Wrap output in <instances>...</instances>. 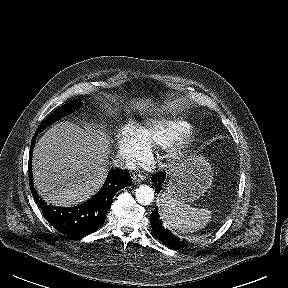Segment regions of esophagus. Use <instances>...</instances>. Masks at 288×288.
Returning a JSON list of instances; mask_svg holds the SVG:
<instances>
[{
    "label": "esophagus",
    "mask_w": 288,
    "mask_h": 288,
    "mask_svg": "<svg viewBox=\"0 0 288 288\" xmlns=\"http://www.w3.org/2000/svg\"><path fill=\"white\" fill-rule=\"evenodd\" d=\"M144 179H145V176L142 175V174H140V173H134V174L132 175V180H133V182H135V183H140V182H142Z\"/></svg>",
    "instance_id": "1"
}]
</instances>
